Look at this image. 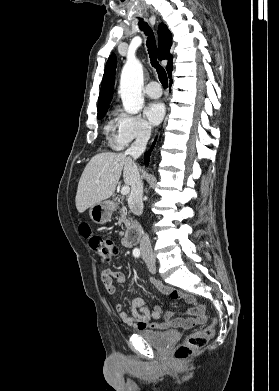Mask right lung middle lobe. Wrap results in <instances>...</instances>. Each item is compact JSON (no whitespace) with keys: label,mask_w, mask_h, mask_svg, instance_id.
<instances>
[{"label":"right lung middle lobe","mask_w":279,"mask_h":391,"mask_svg":"<svg viewBox=\"0 0 279 391\" xmlns=\"http://www.w3.org/2000/svg\"><path fill=\"white\" fill-rule=\"evenodd\" d=\"M107 113V109L98 112V118H102Z\"/></svg>","instance_id":"1"}]
</instances>
